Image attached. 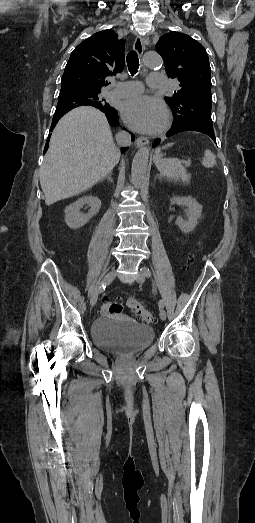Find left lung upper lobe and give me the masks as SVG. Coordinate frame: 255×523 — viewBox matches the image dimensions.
<instances>
[{
  "instance_id": "obj_1",
  "label": "left lung upper lobe",
  "mask_w": 255,
  "mask_h": 523,
  "mask_svg": "<svg viewBox=\"0 0 255 523\" xmlns=\"http://www.w3.org/2000/svg\"><path fill=\"white\" fill-rule=\"evenodd\" d=\"M156 50L164 60L168 77L180 82V90L174 91L172 97H165L174 114L172 127H202L215 137L211 119V68L205 48L186 34L169 32L159 39Z\"/></svg>"
}]
</instances>
